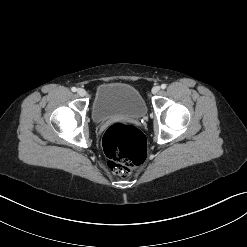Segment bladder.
Wrapping results in <instances>:
<instances>
[{
    "mask_svg": "<svg viewBox=\"0 0 247 247\" xmlns=\"http://www.w3.org/2000/svg\"><path fill=\"white\" fill-rule=\"evenodd\" d=\"M147 112L146 103L140 92L125 83L100 84L94 94L91 115L96 123L112 118H141Z\"/></svg>",
    "mask_w": 247,
    "mask_h": 247,
    "instance_id": "31cf9c89",
    "label": "bladder"
}]
</instances>
